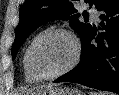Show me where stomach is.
<instances>
[{
	"label": "stomach",
	"mask_w": 119,
	"mask_h": 95,
	"mask_svg": "<svg viewBox=\"0 0 119 95\" xmlns=\"http://www.w3.org/2000/svg\"><path fill=\"white\" fill-rule=\"evenodd\" d=\"M26 95H84V93L75 88H58L51 86L27 92Z\"/></svg>",
	"instance_id": "0dacf381"
}]
</instances>
